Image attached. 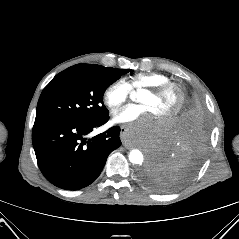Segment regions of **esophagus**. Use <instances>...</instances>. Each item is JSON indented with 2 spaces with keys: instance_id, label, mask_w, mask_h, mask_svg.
Listing matches in <instances>:
<instances>
[{
  "instance_id": "obj_1",
  "label": "esophagus",
  "mask_w": 239,
  "mask_h": 239,
  "mask_svg": "<svg viewBox=\"0 0 239 239\" xmlns=\"http://www.w3.org/2000/svg\"><path fill=\"white\" fill-rule=\"evenodd\" d=\"M126 131H127V128L125 126H122L121 127V138H122V141H123V145L126 148L130 149V148H132V146L129 145L126 140H124V136H125Z\"/></svg>"
}]
</instances>
